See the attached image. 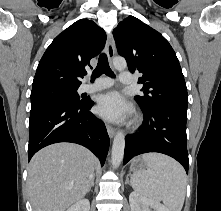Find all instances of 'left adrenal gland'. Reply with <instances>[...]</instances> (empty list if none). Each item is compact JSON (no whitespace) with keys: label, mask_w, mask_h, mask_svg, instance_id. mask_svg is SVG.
Here are the masks:
<instances>
[{"label":"left adrenal gland","mask_w":221,"mask_h":211,"mask_svg":"<svg viewBox=\"0 0 221 211\" xmlns=\"http://www.w3.org/2000/svg\"><path fill=\"white\" fill-rule=\"evenodd\" d=\"M125 184H129V174H128L127 177H126V182H125Z\"/></svg>","instance_id":"a2214340"}]
</instances>
